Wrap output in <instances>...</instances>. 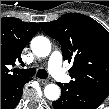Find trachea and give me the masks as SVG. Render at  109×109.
<instances>
[{
	"mask_svg": "<svg viewBox=\"0 0 109 109\" xmlns=\"http://www.w3.org/2000/svg\"><path fill=\"white\" fill-rule=\"evenodd\" d=\"M14 72L17 74H22L24 76L33 77L36 73V69L35 68H29L27 70L15 69ZM37 76L41 79H46L48 78V73L46 72V70L40 69L37 72Z\"/></svg>",
	"mask_w": 109,
	"mask_h": 109,
	"instance_id": "1",
	"label": "trachea"
}]
</instances>
